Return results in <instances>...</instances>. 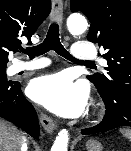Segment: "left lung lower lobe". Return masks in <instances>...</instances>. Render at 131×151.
<instances>
[{"label":"left lung lower lobe","mask_w":131,"mask_h":151,"mask_svg":"<svg viewBox=\"0 0 131 151\" xmlns=\"http://www.w3.org/2000/svg\"><path fill=\"white\" fill-rule=\"evenodd\" d=\"M102 99L106 106V114L103 121L98 125L83 129L82 134H95L106 132L118 127H131V99L115 97H104Z\"/></svg>","instance_id":"1"}]
</instances>
